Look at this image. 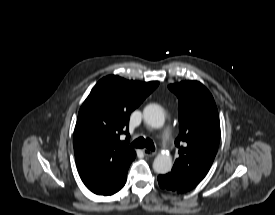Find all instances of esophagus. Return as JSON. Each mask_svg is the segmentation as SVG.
<instances>
[{
  "instance_id": "1",
  "label": "esophagus",
  "mask_w": 275,
  "mask_h": 215,
  "mask_svg": "<svg viewBox=\"0 0 275 215\" xmlns=\"http://www.w3.org/2000/svg\"><path fill=\"white\" fill-rule=\"evenodd\" d=\"M142 151H143L144 155L147 156V157H153V156L156 155V152L151 151V150L146 149V148H144Z\"/></svg>"
}]
</instances>
